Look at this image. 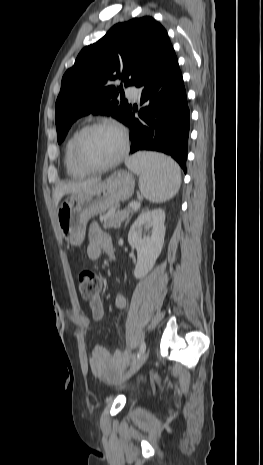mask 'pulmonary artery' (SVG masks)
<instances>
[{
    "label": "pulmonary artery",
    "mask_w": 263,
    "mask_h": 465,
    "mask_svg": "<svg viewBox=\"0 0 263 465\" xmlns=\"http://www.w3.org/2000/svg\"><path fill=\"white\" fill-rule=\"evenodd\" d=\"M126 94L131 100H138L139 93L135 87H128L126 89Z\"/></svg>",
    "instance_id": "pulmonary-artery-1"
}]
</instances>
